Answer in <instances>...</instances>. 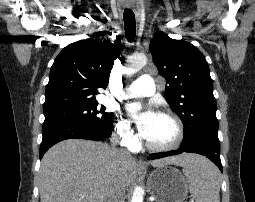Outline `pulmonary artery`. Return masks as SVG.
Instances as JSON below:
<instances>
[{
    "label": "pulmonary artery",
    "mask_w": 255,
    "mask_h": 202,
    "mask_svg": "<svg viewBox=\"0 0 255 202\" xmlns=\"http://www.w3.org/2000/svg\"><path fill=\"white\" fill-rule=\"evenodd\" d=\"M155 92V83L148 74L141 75L136 81L125 87L120 98L128 99L135 97L150 96Z\"/></svg>",
    "instance_id": "e3ab8cb5"
}]
</instances>
